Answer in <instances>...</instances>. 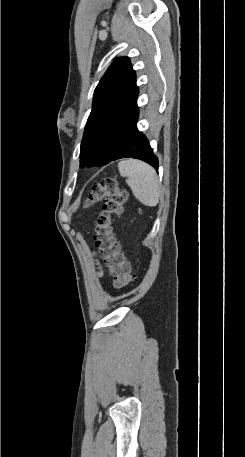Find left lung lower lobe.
<instances>
[{"instance_id":"1","label":"left lung lower lobe","mask_w":245,"mask_h":457,"mask_svg":"<svg viewBox=\"0 0 245 457\" xmlns=\"http://www.w3.org/2000/svg\"><path fill=\"white\" fill-rule=\"evenodd\" d=\"M138 110L128 111L90 131L82 140L80 167L103 166L121 158L142 160L158 171V158L138 131Z\"/></svg>"}]
</instances>
